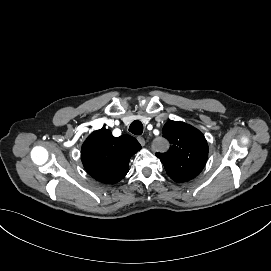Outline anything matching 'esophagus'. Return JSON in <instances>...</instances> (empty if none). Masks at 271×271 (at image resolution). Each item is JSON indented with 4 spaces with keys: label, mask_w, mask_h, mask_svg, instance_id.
Here are the masks:
<instances>
[{
    "label": "esophagus",
    "mask_w": 271,
    "mask_h": 271,
    "mask_svg": "<svg viewBox=\"0 0 271 271\" xmlns=\"http://www.w3.org/2000/svg\"><path fill=\"white\" fill-rule=\"evenodd\" d=\"M137 140L141 146H144L148 142V137L146 135H141L137 137Z\"/></svg>",
    "instance_id": "obj_1"
}]
</instances>
